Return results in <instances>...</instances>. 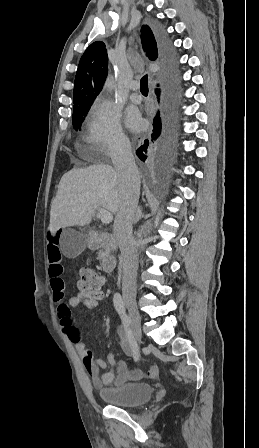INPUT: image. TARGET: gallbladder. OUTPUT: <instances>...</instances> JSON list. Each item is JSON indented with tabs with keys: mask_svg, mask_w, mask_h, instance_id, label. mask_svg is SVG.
Listing matches in <instances>:
<instances>
[{
	"mask_svg": "<svg viewBox=\"0 0 259 448\" xmlns=\"http://www.w3.org/2000/svg\"><path fill=\"white\" fill-rule=\"evenodd\" d=\"M90 240L87 234H80L67 228L60 238V248L66 258H77L87 248Z\"/></svg>",
	"mask_w": 259,
	"mask_h": 448,
	"instance_id": "bac80fb5",
	"label": "gallbladder"
}]
</instances>
